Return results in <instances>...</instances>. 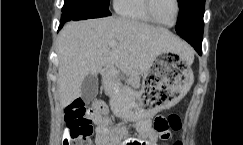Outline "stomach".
<instances>
[{
	"label": "stomach",
	"mask_w": 243,
	"mask_h": 145,
	"mask_svg": "<svg viewBox=\"0 0 243 145\" xmlns=\"http://www.w3.org/2000/svg\"><path fill=\"white\" fill-rule=\"evenodd\" d=\"M192 62L191 51L184 54L166 52L155 59L143 75L139 94H120V86L106 79L105 88L112 95L111 103L123 106L118 107L116 116L136 121L141 117L156 116L160 110L178 103L193 84Z\"/></svg>",
	"instance_id": "0dacf381"
}]
</instances>
